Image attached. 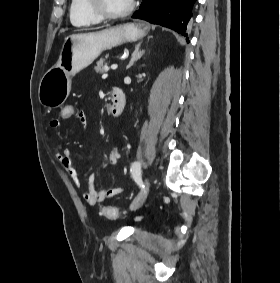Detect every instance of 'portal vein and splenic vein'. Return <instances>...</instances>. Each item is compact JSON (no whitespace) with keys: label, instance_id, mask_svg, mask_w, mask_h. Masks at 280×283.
Wrapping results in <instances>:
<instances>
[{"label":"portal vein and splenic vein","instance_id":"portal-vein-and-splenic-vein-1","mask_svg":"<svg viewBox=\"0 0 280 283\" xmlns=\"http://www.w3.org/2000/svg\"><path fill=\"white\" fill-rule=\"evenodd\" d=\"M117 67H118V65H117V64H112V65H111V69H112V70H116V69H117Z\"/></svg>","mask_w":280,"mask_h":283}]
</instances>
